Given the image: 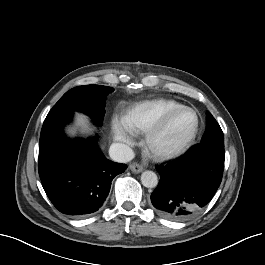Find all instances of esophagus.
Returning a JSON list of instances; mask_svg holds the SVG:
<instances>
[{"label": "esophagus", "mask_w": 265, "mask_h": 265, "mask_svg": "<svg viewBox=\"0 0 265 265\" xmlns=\"http://www.w3.org/2000/svg\"><path fill=\"white\" fill-rule=\"evenodd\" d=\"M129 169L133 172V173H140L143 171V167L138 164V163H132L129 165Z\"/></svg>", "instance_id": "34e87169"}]
</instances>
